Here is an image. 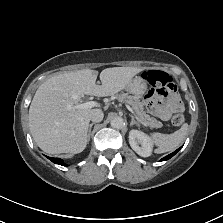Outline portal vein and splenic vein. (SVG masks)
<instances>
[{"mask_svg":"<svg viewBox=\"0 0 223 223\" xmlns=\"http://www.w3.org/2000/svg\"><path fill=\"white\" fill-rule=\"evenodd\" d=\"M101 106H102L101 102L89 101V102H86V103L71 105V108L74 109V110H78V109L94 108V107H101ZM124 107L129 113H131L132 115L134 114V116H135L134 110L129 107V104L127 102L124 104ZM135 117H136V120H137V116H135ZM147 125L150 127L152 124L149 122Z\"/></svg>","mask_w":223,"mask_h":223,"instance_id":"portal-vein-and-splenic-vein-1","label":"portal vein and splenic vein"}]
</instances>
